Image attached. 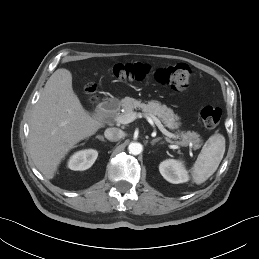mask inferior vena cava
Returning a JSON list of instances; mask_svg holds the SVG:
<instances>
[{
  "mask_svg": "<svg viewBox=\"0 0 259 259\" xmlns=\"http://www.w3.org/2000/svg\"><path fill=\"white\" fill-rule=\"evenodd\" d=\"M104 136L110 141H118L124 136V132L119 128H107Z\"/></svg>",
  "mask_w": 259,
  "mask_h": 259,
  "instance_id": "602c4592",
  "label": "inferior vena cava"
}]
</instances>
